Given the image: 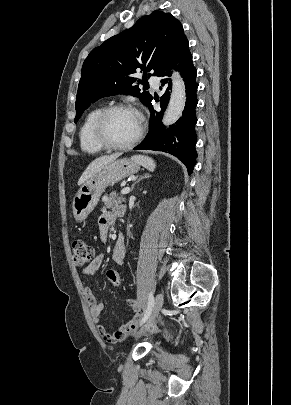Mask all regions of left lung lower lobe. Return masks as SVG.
Masks as SVG:
<instances>
[{"label":"left lung lower lobe","mask_w":291,"mask_h":405,"mask_svg":"<svg viewBox=\"0 0 291 405\" xmlns=\"http://www.w3.org/2000/svg\"><path fill=\"white\" fill-rule=\"evenodd\" d=\"M172 68L178 70L185 81L187 99L182 116L175 124L166 128L161 119L170 98L171 80L169 77ZM196 75L197 70L193 66L188 40L185 37L157 74L158 77H161L162 85L166 86V91L160 98L162 110H154L152 100L147 105L151 111L150 131L146 138L134 148V150H155L170 153L188 168V174L193 172L197 157L195 149L197 135L194 131V126L197 123L195 107L198 103L196 98L198 88L195 81Z\"/></svg>","instance_id":"left-lung-lower-lobe-1"}]
</instances>
